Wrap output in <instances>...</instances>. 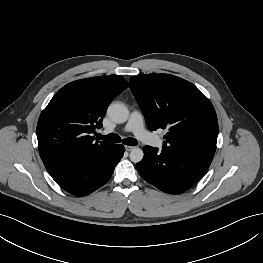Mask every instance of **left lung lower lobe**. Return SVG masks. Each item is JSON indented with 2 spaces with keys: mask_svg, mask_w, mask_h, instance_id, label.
Masks as SVG:
<instances>
[{
  "mask_svg": "<svg viewBox=\"0 0 263 263\" xmlns=\"http://www.w3.org/2000/svg\"><path fill=\"white\" fill-rule=\"evenodd\" d=\"M144 158L136 167L140 175L163 192L179 194L195 184L206 172L211 160L163 146H145Z\"/></svg>",
  "mask_w": 263,
  "mask_h": 263,
  "instance_id": "1",
  "label": "left lung lower lobe"
}]
</instances>
